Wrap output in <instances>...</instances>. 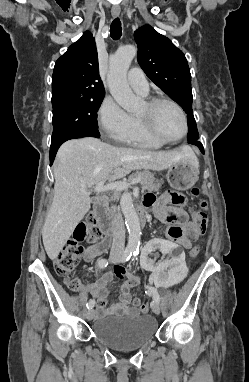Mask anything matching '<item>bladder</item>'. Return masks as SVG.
Returning a JSON list of instances; mask_svg holds the SVG:
<instances>
[{"instance_id":"31cf9c89","label":"bladder","mask_w":249,"mask_h":382,"mask_svg":"<svg viewBox=\"0 0 249 382\" xmlns=\"http://www.w3.org/2000/svg\"><path fill=\"white\" fill-rule=\"evenodd\" d=\"M93 332L112 349L135 350L155 337L157 322L147 314L132 317L109 316L95 321Z\"/></svg>"}]
</instances>
